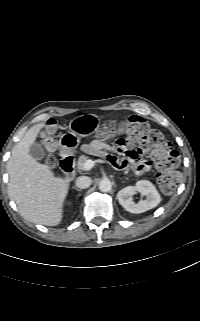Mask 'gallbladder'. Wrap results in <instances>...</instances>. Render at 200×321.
<instances>
[{
    "mask_svg": "<svg viewBox=\"0 0 200 321\" xmlns=\"http://www.w3.org/2000/svg\"><path fill=\"white\" fill-rule=\"evenodd\" d=\"M29 154L35 159V160H42L45 158L46 153L43 149V147L40 144L34 143L30 146Z\"/></svg>",
    "mask_w": 200,
    "mask_h": 321,
    "instance_id": "1",
    "label": "gallbladder"
}]
</instances>
